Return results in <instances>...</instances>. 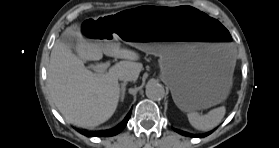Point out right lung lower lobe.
<instances>
[{"instance_id": "right-lung-lower-lobe-1", "label": "right lung lower lobe", "mask_w": 279, "mask_h": 148, "mask_svg": "<svg viewBox=\"0 0 279 148\" xmlns=\"http://www.w3.org/2000/svg\"><path fill=\"white\" fill-rule=\"evenodd\" d=\"M131 116V113H129L122 123H120L118 126H116L113 129L107 130V131H99V132H88V131H81L78 130L81 134L88 136V137H94V136H114L118 133H120L126 126L129 118Z\"/></svg>"}]
</instances>
